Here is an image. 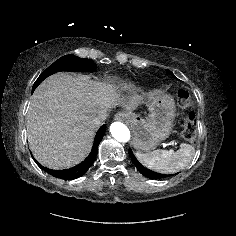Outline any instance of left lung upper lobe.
<instances>
[{
	"label": "left lung upper lobe",
	"instance_id": "5c2ea615",
	"mask_svg": "<svg viewBox=\"0 0 236 236\" xmlns=\"http://www.w3.org/2000/svg\"><path fill=\"white\" fill-rule=\"evenodd\" d=\"M167 72H168L172 77L176 78V77L172 74V72H170L169 70H167Z\"/></svg>",
	"mask_w": 236,
	"mask_h": 236
}]
</instances>
